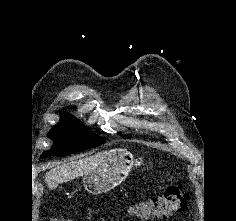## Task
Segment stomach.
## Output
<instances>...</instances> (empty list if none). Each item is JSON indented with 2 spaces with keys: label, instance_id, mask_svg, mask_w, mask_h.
Instances as JSON below:
<instances>
[{
  "label": "stomach",
  "instance_id": "stomach-1",
  "mask_svg": "<svg viewBox=\"0 0 236 221\" xmlns=\"http://www.w3.org/2000/svg\"><path fill=\"white\" fill-rule=\"evenodd\" d=\"M136 165L137 160L130 152L111 150L93 170L84 175V187L91 194L108 192L125 180Z\"/></svg>",
  "mask_w": 236,
  "mask_h": 221
}]
</instances>
